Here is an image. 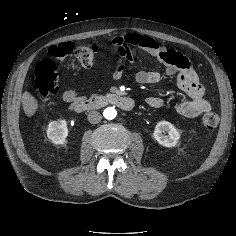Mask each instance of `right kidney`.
I'll return each instance as SVG.
<instances>
[{"instance_id":"ca27d5eb","label":"right kidney","mask_w":236,"mask_h":236,"mask_svg":"<svg viewBox=\"0 0 236 236\" xmlns=\"http://www.w3.org/2000/svg\"><path fill=\"white\" fill-rule=\"evenodd\" d=\"M68 128L65 119L52 121L48 125L47 137L54 144H67Z\"/></svg>"}]
</instances>
